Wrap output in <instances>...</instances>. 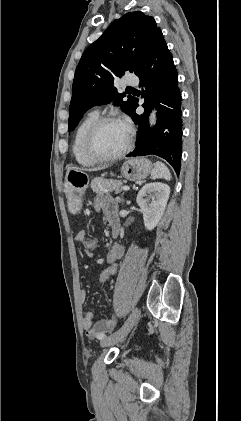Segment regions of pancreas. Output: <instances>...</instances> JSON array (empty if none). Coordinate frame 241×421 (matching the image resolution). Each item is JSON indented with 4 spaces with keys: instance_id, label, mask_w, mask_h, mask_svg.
I'll use <instances>...</instances> for the list:
<instances>
[{
    "instance_id": "1",
    "label": "pancreas",
    "mask_w": 241,
    "mask_h": 421,
    "mask_svg": "<svg viewBox=\"0 0 241 421\" xmlns=\"http://www.w3.org/2000/svg\"><path fill=\"white\" fill-rule=\"evenodd\" d=\"M122 187L123 183L120 180L95 178L91 181V189L99 195L109 194L112 191L120 193Z\"/></svg>"
}]
</instances>
